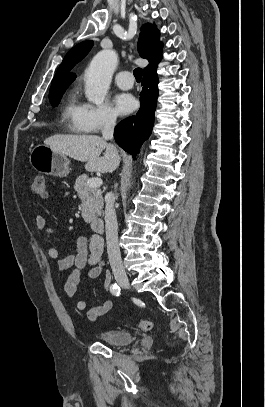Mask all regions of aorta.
Returning <instances> with one entry per match:
<instances>
[{
	"label": "aorta",
	"instance_id": "aorta-1",
	"mask_svg": "<svg viewBox=\"0 0 265 407\" xmlns=\"http://www.w3.org/2000/svg\"><path fill=\"white\" fill-rule=\"evenodd\" d=\"M118 56L113 50L97 53L85 71V95L89 102L101 105L108 92Z\"/></svg>",
	"mask_w": 265,
	"mask_h": 407
}]
</instances>
